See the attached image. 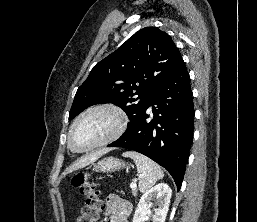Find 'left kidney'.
<instances>
[{
	"mask_svg": "<svg viewBox=\"0 0 257 222\" xmlns=\"http://www.w3.org/2000/svg\"><path fill=\"white\" fill-rule=\"evenodd\" d=\"M171 194V188L165 183H160L146 191L142 195L135 210L133 222H143L144 217L150 213L151 201H155L158 205V208L154 209L155 215L153 216V222H165Z\"/></svg>",
	"mask_w": 257,
	"mask_h": 222,
	"instance_id": "obj_1",
	"label": "left kidney"
}]
</instances>
